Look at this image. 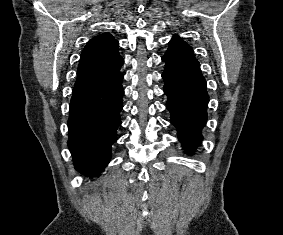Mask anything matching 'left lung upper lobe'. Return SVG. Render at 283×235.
<instances>
[{"instance_id":"obj_1","label":"left lung upper lobe","mask_w":283,"mask_h":235,"mask_svg":"<svg viewBox=\"0 0 283 235\" xmlns=\"http://www.w3.org/2000/svg\"><path fill=\"white\" fill-rule=\"evenodd\" d=\"M165 62L199 67L192 48L178 36H173L169 48L162 57Z\"/></svg>"}]
</instances>
